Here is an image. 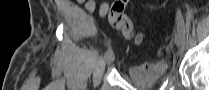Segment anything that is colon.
<instances>
[{"instance_id": "colon-1", "label": "colon", "mask_w": 209, "mask_h": 90, "mask_svg": "<svg viewBox=\"0 0 209 90\" xmlns=\"http://www.w3.org/2000/svg\"><path fill=\"white\" fill-rule=\"evenodd\" d=\"M125 6L126 0L114 1L109 9V21L127 40L139 44L142 41V36L135 32L132 22L124 13Z\"/></svg>"}]
</instances>
